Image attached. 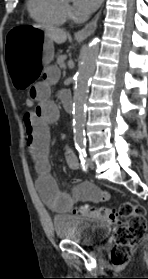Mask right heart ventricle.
Here are the masks:
<instances>
[{
    "label": "right heart ventricle",
    "instance_id": "e07e8e85",
    "mask_svg": "<svg viewBox=\"0 0 148 279\" xmlns=\"http://www.w3.org/2000/svg\"><path fill=\"white\" fill-rule=\"evenodd\" d=\"M30 16L39 24L59 26L66 21V9L61 0H27Z\"/></svg>",
    "mask_w": 148,
    "mask_h": 279
}]
</instances>
